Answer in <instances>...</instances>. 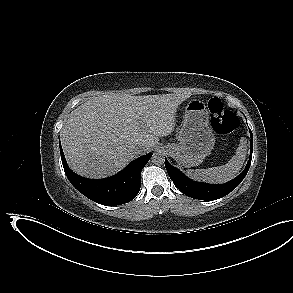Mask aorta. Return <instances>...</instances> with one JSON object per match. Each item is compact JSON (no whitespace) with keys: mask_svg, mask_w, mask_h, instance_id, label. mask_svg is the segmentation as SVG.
<instances>
[{"mask_svg":"<svg viewBox=\"0 0 293 293\" xmlns=\"http://www.w3.org/2000/svg\"><path fill=\"white\" fill-rule=\"evenodd\" d=\"M164 160H165V157H164V154L161 151L154 152L152 157H151L152 163H154L156 165L163 164Z\"/></svg>","mask_w":293,"mask_h":293,"instance_id":"aorta-1","label":"aorta"}]
</instances>
